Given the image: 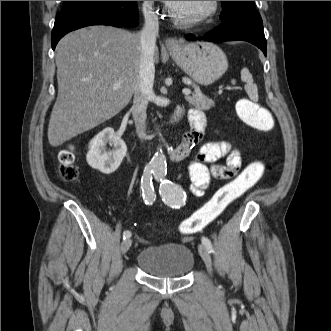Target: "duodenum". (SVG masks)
<instances>
[{
  "label": "duodenum",
  "mask_w": 331,
  "mask_h": 331,
  "mask_svg": "<svg viewBox=\"0 0 331 331\" xmlns=\"http://www.w3.org/2000/svg\"><path fill=\"white\" fill-rule=\"evenodd\" d=\"M179 118H180V113H179V112H175V113L172 115V117H171V122H172V123H175V122H177V121L179 120Z\"/></svg>",
  "instance_id": "1"
}]
</instances>
